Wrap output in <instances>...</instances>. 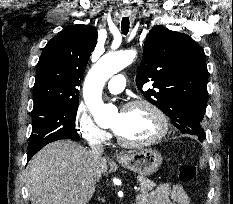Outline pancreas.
I'll return each mask as SVG.
<instances>
[{
    "mask_svg": "<svg viewBox=\"0 0 233 204\" xmlns=\"http://www.w3.org/2000/svg\"><path fill=\"white\" fill-rule=\"evenodd\" d=\"M137 181L140 184L139 190L142 193H148L149 191L153 190V188L156 186V184L153 181L144 176H138Z\"/></svg>",
    "mask_w": 233,
    "mask_h": 204,
    "instance_id": "pancreas-1",
    "label": "pancreas"
}]
</instances>
